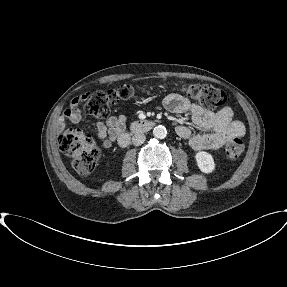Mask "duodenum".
<instances>
[{
    "mask_svg": "<svg viewBox=\"0 0 287 287\" xmlns=\"http://www.w3.org/2000/svg\"><path fill=\"white\" fill-rule=\"evenodd\" d=\"M155 124L154 120H138L131 123L127 131H124L118 138L120 146H126L130 142V136L150 131Z\"/></svg>",
    "mask_w": 287,
    "mask_h": 287,
    "instance_id": "duodenum-1",
    "label": "duodenum"
}]
</instances>
